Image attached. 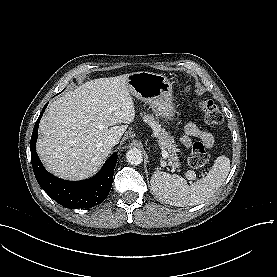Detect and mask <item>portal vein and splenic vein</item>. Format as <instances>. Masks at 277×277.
I'll list each match as a JSON object with an SVG mask.
<instances>
[{
	"label": "portal vein and splenic vein",
	"instance_id": "1",
	"mask_svg": "<svg viewBox=\"0 0 277 277\" xmlns=\"http://www.w3.org/2000/svg\"><path fill=\"white\" fill-rule=\"evenodd\" d=\"M162 156H163V158H168L169 154L166 150H162Z\"/></svg>",
	"mask_w": 277,
	"mask_h": 277
}]
</instances>
